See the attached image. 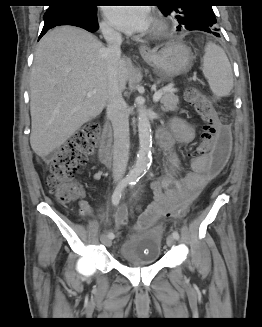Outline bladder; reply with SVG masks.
<instances>
[{
	"label": "bladder",
	"instance_id": "obj_1",
	"mask_svg": "<svg viewBox=\"0 0 262 327\" xmlns=\"http://www.w3.org/2000/svg\"><path fill=\"white\" fill-rule=\"evenodd\" d=\"M163 233L158 230L132 232L119 247V258L133 264L142 262L153 264L160 260Z\"/></svg>",
	"mask_w": 262,
	"mask_h": 327
}]
</instances>
